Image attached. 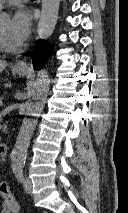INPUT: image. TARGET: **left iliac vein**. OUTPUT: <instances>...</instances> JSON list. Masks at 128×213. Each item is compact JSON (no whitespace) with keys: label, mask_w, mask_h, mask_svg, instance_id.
Here are the masks:
<instances>
[{"label":"left iliac vein","mask_w":128,"mask_h":213,"mask_svg":"<svg viewBox=\"0 0 128 213\" xmlns=\"http://www.w3.org/2000/svg\"><path fill=\"white\" fill-rule=\"evenodd\" d=\"M23 185H24V189H25V191L27 192V193H31V191H32V182H31V180L29 179V178H24V183H23Z\"/></svg>","instance_id":"4c4485c4"}]
</instances>
